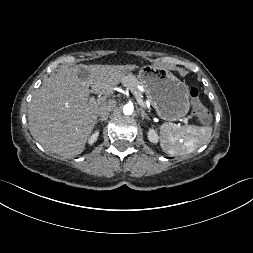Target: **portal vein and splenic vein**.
<instances>
[{"label": "portal vein and splenic vein", "instance_id": "portal-vein-and-splenic-vein-1", "mask_svg": "<svg viewBox=\"0 0 253 253\" xmlns=\"http://www.w3.org/2000/svg\"><path fill=\"white\" fill-rule=\"evenodd\" d=\"M130 91L135 96V98L137 99V101L141 105H143V100H142L141 96L138 94V92L134 88H131V87H130ZM91 100L94 101L95 97H92ZM183 122L187 124L188 120L187 119H183Z\"/></svg>", "mask_w": 253, "mask_h": 253}]
</instances>
